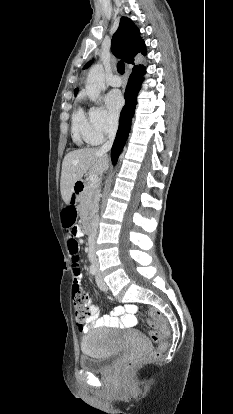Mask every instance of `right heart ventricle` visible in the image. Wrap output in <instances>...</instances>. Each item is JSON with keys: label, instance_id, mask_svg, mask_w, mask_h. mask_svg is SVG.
Here are the masks:
<instances>
[{"label": "right heart ventricle", "instance_id": "1", "mask_svg": "<svg viewBox=\"0 0 233 414\" xmlns=\"http://www.w3.org/2000/svg\"><path fill=\"white\" fill-rule=\"evenodd\" d=\"M72 137L75 143L96 144L93 139L92 126L89 115L80 107L72 115Z\"/></svg>", "mask_w": 233, "mask_h": 414}]
</instances>
